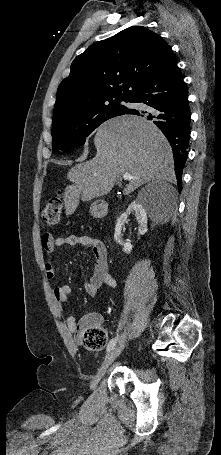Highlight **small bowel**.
I'll return each mask as SVG.
<instances>
[{
	"label": "small bowel",
	"instance_id": "c3829d8e",
	"mask_svg": "<svg viewBox=\"0 0 221 455\" xmlns=\"http://www.w3.org/2000/svg\"><path fill=\"white\" fill-rule=\"evenodd\" d=\"M76 246L92 250L95 256V267L92 276L85 282L84 287L86 292L95 296L103 284L115 289L117 281L112 277L108 269V253L104 243L90 235H67L63 237H55L50 233H45L42 237V247L47 254V259L44 263L45 275L48 279L55 277L54 252L60 246ZM71 293L69 285H59L53 288V294L58 304L59 310L63 313L66 310L68 298ZM101 318L95 315H87L76 321L75 317L68 315L66 324L68 330L74 335L77 344L81 343L82 333L85 328L92 324L100 322Z\"/></svg>",
	"mask_w": 221,
	"mask_h": 455
}]
</instances>
